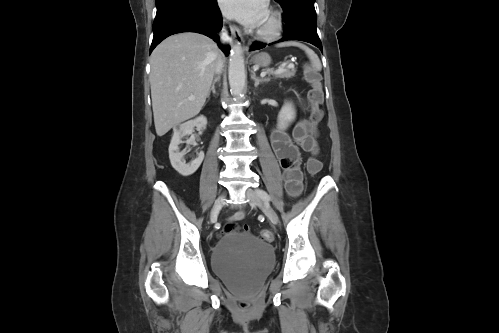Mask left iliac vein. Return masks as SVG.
I'll return each mask as SVG.
<instances>
[{
	"mask_svg": "<svg viewBox=\"0 0 499 333\" xmlns=\"http://www.w3.org/2000/svg\"><path fill=\"white\" fill-rule=\"evenodd\" d=\"M245 196L250 204L259 207L273 224H278L279 219L277 213L268 202L264 201L257 194L256 191H254L253 189H247L245 192Z\"/></svg>",
	"mask_w": 499,
	"mask_h": 333,
	"instance_id": "left-iliac-vein-1",
	"label": "left iliac vein"
}]
</instances>
